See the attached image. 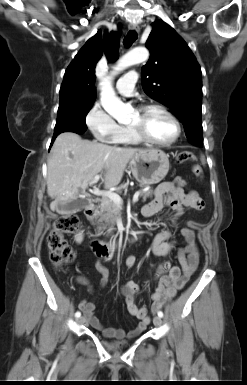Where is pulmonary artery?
<instances>
[{"mask_svg":"<svg viewBox=\"0 0 247 385\" xmlns=\"http://www.w3.org/2000/svg\"><path fill=\"white\" fill-rule=\"evenodd\" d=\"M138 74L136 71H129L125 73L116 84V88L124 97H130L134 94V86L137 81Z\"/></svg>","mask_w":247,"mask_h":385,"instance_id":"obj_1","label":"pulmonary artery"}]
</instances>
